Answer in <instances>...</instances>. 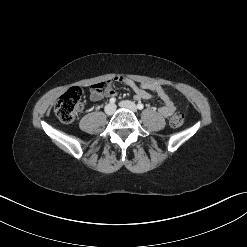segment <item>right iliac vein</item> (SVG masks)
<instances>
[{
    "label": "right iliac vein",
    "mask_w": 247,
    "mask_h": 247,
    "mask_svg": "<svg viewBox=\"0 0 247 247\" xmlns=\"http://www.w3.org/2000/svg\"><path fill=\"white\" fill-rule=\"evenodd\" d=\"M115 110H116V107L113 104H107L105 106V113L107 115H112L115 112Z\"/></svg>",
    "instance_id": "obj_1"
}]
</instances>
